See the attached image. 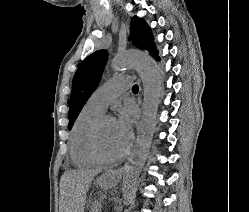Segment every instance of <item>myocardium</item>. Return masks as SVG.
Listing matches in <instances>:
<instances>
[{
    "mask_svg": "<svg viewBox=\"0 0 249 212\" xmlns=\"http://www.w3.org/2000/svg\"><path fill=\"white\" fill-rule=\"evenodd\" d=\"M105 118L107 117L100 116L98 119H96V121L94 122V124L92 125L89 131L87 145H88V150H89L90 155L97 163L113 164V163H116L122 160L125 157L127 152L123 151L121 154L117 156L108 157L100 151L99 145H98V133H99L100 126Z\"/></svg>",
    "mask_w": 249,
    "mask_h": 212,
    "instance_id": "obj_1",
    "label": "myocardium"
}]
</instances>
